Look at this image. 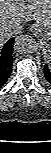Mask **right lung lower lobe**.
Masks as SVG:
<instances>
[{
  "label": "right lung lower lobe",
  "instance_id": "obj_1",
  "mask_svg": "<svg viewBox=\"0 0 51 153\" xmlns=\"http://www.w3.org/2000/svg\"><path fill=\"white\" fill-rule=\"evenodd\" d=\"M14 38H11L5 45H0V87L6 83L12 72V51Z\"/></svg>",
  "mask_w": 51,
  "mask_h": 153
}]
</instances>
